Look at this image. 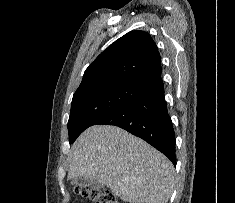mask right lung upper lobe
Wrapping results in <instances>:
<instances>
[{
  "instance_id": "obj_1",
  "label": "right lung upper lobe",
  "mask_w": 235,
  "mask_h": 203,
  "mask_svg": "<svg viewBox=\"0 0 235 203\" xmlns=\"http://www.w3.org/2000/svg\"><path fill=\"white\" fill-rule=\"evenodd\" d=\"M161 57L151 36L131 31L104 50L85 70L77 90L110 81L151 86L161 80Z\"/></svg>"
}]
</instances>
